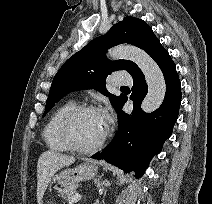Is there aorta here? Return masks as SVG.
<instances>
[{"mask_svg":"<svg viewBox=\"0 0 212 204\" xmlns=\"http://www.w3.org/2000/svg\"><path fill=\"white\" fill-rule=\"evenodd\" d=\"M108 56L113 60L128 59L137 64L144 74L148 86V92L141 108L146 113L157 110L161 106L166 93L164 75L157 63L142 49L129 45L112 48L108 52Z\"/></svg>","mask_w":212,"mask_h":204,"instance_id":"1","label":"aorta"}]
</instances>
